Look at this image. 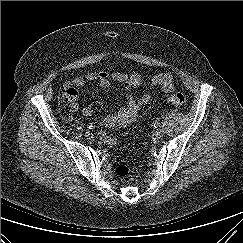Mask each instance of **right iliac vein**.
<instances>
[{
    "label": "right iliac vein",
    "mask_w": 243,
    "mask_h": 243,
    "mask_svg": "<svg viewBox=\"0 0 243 243\" xmlns=\"http://www.w3.org/2000/svg\"><path fill=\"white\" fill-rule=\"evenodd\" d=\"M85 136L88 140H94V135L90 131L86 132Z\"/></svg>",
    "instance_id": "1"
}]
</instances>
